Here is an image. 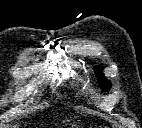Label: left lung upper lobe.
Returning a JSON list of instances; mask_svg holds the SVG:
<instances>
[{"instance_id": "1", "label": "left lung upper lobe", "mask_w": 142, "mask_h": 128, "mask_svg": "<svg viewBox=\"0 0 142 128\" xmlns=\"http://www.w3.org/2000/svg\"><path fill=\"white\" fill-rule=\"evenodd\" d=\"M96 76L99 80V82L101 83L102 89L104 91H107L108 89H110V82L107 81L104 76L102 75V69L100 67H97L96 70Z\"/></svg>"}]
</instances>
